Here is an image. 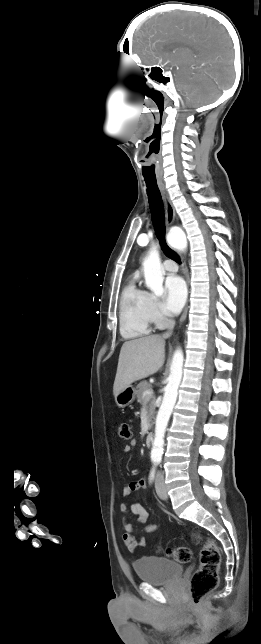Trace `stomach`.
<instances>
[{
    "mask_svg": "<svg viewBox=\"0 0 261 644\" xmlns=\"http://www.w3.org/2000/svg\"><path fill=\"white\" fill-rule=\"evenodd\" d=\"M136 396V389L133 386H128L115 396V402L119 407H126L133 403Z\"/></svg>",
    "mask_w": 261,
    "mask_h": 644,
    "instance_id": "0dacf381",
    "label": "stomach"
}]
</instances>
